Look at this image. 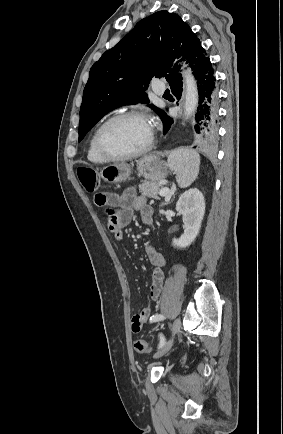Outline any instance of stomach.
I'll use <instances>...</instances> for the list:
<instances>
[{"instance_id":"0dacf381","label":"stomach","mask_w":283,"mask_h":434,"mask_svg":"<svg viewBox=\"0 0 283 434\" xmlns=\"http://www.w3.org/2000/svg\"><path fill=\"white\" fill-rule=\"evenodd\" d=\"M138 175L152 182H158L167 177L168 164L160 155L152 153L140 158L136 162ZM132 172V165L127 163H115L102 168L101 178L108 183H120L129 178Z\"/></svg>"}]
</instances>
